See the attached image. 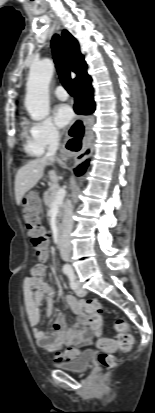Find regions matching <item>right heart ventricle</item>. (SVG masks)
<instances>
[{
	"label": "right heart ventricle",
	"instance_id": "obj_1",
	"mask_svg": "<svg viewBox=\"0 0 155 413\" xmlns=\"http://www.w3.org/2000/svg\"><path fill=\"white\" fill-rule=\"evenodd\" d=\"M21 136H22V139H23V149H24V151L29 156H32V157L40 155V153L35 149L26 127H23L22 132H21Z\"/></svg>",
	"mask_w": 155,
	"mask_h": 413
}]
</instances>
